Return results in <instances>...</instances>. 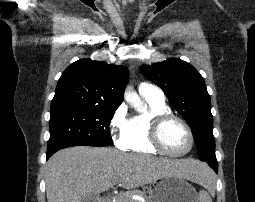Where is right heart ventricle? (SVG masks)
Returning <instances> with one entry per match:
<instances>
[{
  "label": "right heart ventricle",
  "instance_id": "1",
  "mask_svg": "<svg viewBox=\"0 0 255 202\" xmlns=\"http://www.w3.org/2000/svg\"><path fill=\"white\" fill-rule=\"evenodd\" d=\"M145 101L148 104V110L132 117L127 123L125 149L156 154L158 151L149 141L150 122L153 117L159 114L169 113V108L165 102H158L149 98H145Z\"/></svg>",
  "mask_w": 255,
  "mask_h": 202
}]
</instances>
